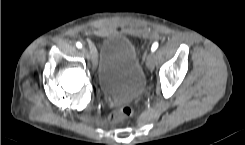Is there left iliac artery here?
Masks as SVG:
<instances>
[{"label": "left iliac artery", "instance_id": "obj_1", "mask_svg": "<svg viewBox=\"0 0 245 145\" xmlns=\"http://www.w3.org/2000/svg\"><path fill=\"white\" fill-rule=\"evenodd\" d=\"M158 48V42L153 43L151 51L154 52Z\"/></svg>", "mask_w": 245, "mask_h": 145}]
</instances>
